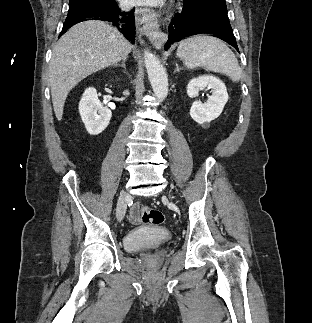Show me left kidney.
I'll use <instances>...</instances> for the list:
<instances>
[{"label": "left kidney", "instance_id": "5707ae66", "mask_svg": "<svg viewBox=\"0 0 312 323\" xmlns=\"http://www.w3.org/2000/svg\"><path fill=\"white\" fill-rule=\"evenodd\" d=\"M204 88L211 90L212 96H208V100L204 104L193 102L190 110L192 120H195L198 124L212 122V120L218 118L229 98L225 84L215 76L193 78L187 86V94L189 98H196V96H199L198 92L204 90Z\"/></svg>", "mask_w": 312, "mask_h": 323}]
</instances>
